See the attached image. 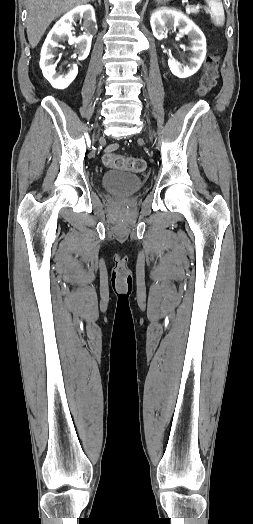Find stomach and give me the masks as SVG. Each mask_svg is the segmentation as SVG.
<instances>
[{
    "instance_id": "1",
    "label": "stomach",
    "mask_w": 253,
    "mask_h": 524,
    "mask_svg": "<svg viewBox=\"0 0 253 524\" xmlns=\"http://www.w3.org/2000/svg\"><path fill=\"white\" fill-rule=\"evenodd\" d=\"M156 1H159V2H167L169 0H156Z\"/></svg>"
}]
</instances>
